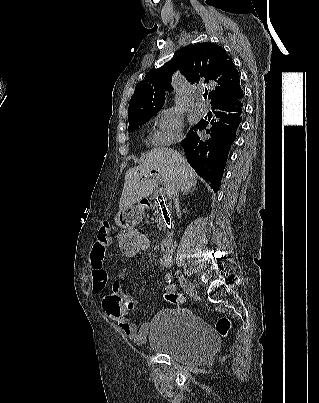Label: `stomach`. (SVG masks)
<instances>
[{
  "instance_id": "stomach-1",
  "label": "stomach",
  "mask_w": 319,
  "mask_h": 403,
  "mask_svg": "<svg viewBox=\"0 0 319 403\" xmlns=\"http://www.w3.org/2000/svg\"><path fill=\"white\" fill-rule=\"evenodd\" d=\"M112 216L117 228H127L141 224L143 214L140 208L132 206L125 210H113Z\"/></svg>"
}]
</instances>
